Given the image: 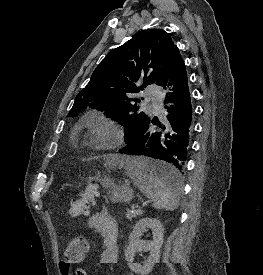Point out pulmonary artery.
Listing matches in <instances>:
<instances>
[{
	"label": "pulmonary artery",
	"mask_w": 263,
	"mask_h": 275,
	"mask_svg": "<svg viewBox=\"0 0 263 275\" xmlns=\"http://www.w3.org/2000/svg\"><path fill=\"white\" fill-rule=\"evenodd\" d=\"M146 99L151 103V106L154 110L159 111L161 109L163 96L157 86L152 85L147 88Z\"/></svg>",
	"instance_id": "pulmonary-artery-1"
}]
</instances>
